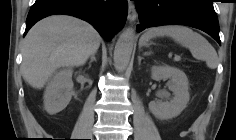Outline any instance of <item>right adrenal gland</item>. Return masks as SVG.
Masks as SVG:
<instances>
[{
    "label": "right adrenal gland",
    "mask_w": 236,
    "mask_h": 140,
    "mask_svg": "<svg viewBox=\"0 0 236 140\" xmlns=\"http://www.w3.org/2000/svg\"><path fill=\"white\" fill-rule=\"evenodd\" d=\"M95 54H96V53H94V54L91 55V57H90V62H89V66H91V63H92L93 61H96Z\"/></svg>",
    "instance_id": "2a0ac1e0"
}]
</instances>
